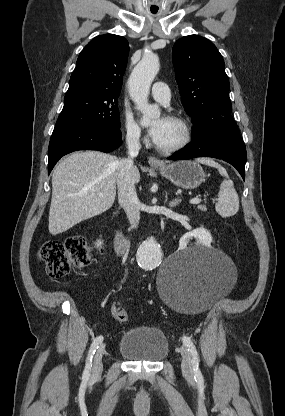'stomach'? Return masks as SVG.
Wrapping results in <instances>:
<instances>
[{
	"mask_svg": "<svg viewBox=\"0 0 285 416\" xmlns=\"http://www.w3.org/2000/svg\"><path fill=\"white\" fill-rule=\"evenodd\" d=\"M160 170L161 176L173 182L178 188H185V190H193L198 188L202 182H204L205 174L196 162H188V160H182V162H174V164H162V166H156Z\"/></svg>",
	"mask_w": 285,
	"mask_h": 416,
	"instance_id": "obj_1",
	"label": "stomach"
}]
</instances>
